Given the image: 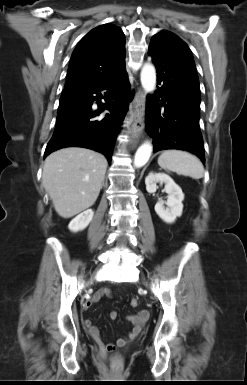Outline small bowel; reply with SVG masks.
<instances>
[{
	"label": "small bowel",
	"instance_id": "1",
	"mask_svg": "<svg viewBox=\"0 0 247 385\" xmlns=\"http://www.w3.org/2000/svg\"><path fill=\"white\" fill-rule=\"evenodd\" d=\"M102 296L110 297L111 291L109 289H103L100 292L96 293L90 299H87L84 302L83 308L87 309L92 304L98 302ZM117 316H118V314L114 310L109 313V318L111 320H115L117 318ZM148 317H149V312L147 310H142L138 313L127 315L126 318L132 324V329L124 338L118 339L116 341V345L117 346H124L127 342L136 338L140 334L142 327L146 323ZM83 325L88 330L89 334L92 336V338L95 340V342L99 346H101L104 349H108L109 346H112L111 344L104 343V341L100 335L99 329L92 323L91 320L85 319L83 321Z\"/></svg>",
	"mask_w": 247,
	"mask_h": 385
}]
</instances>
